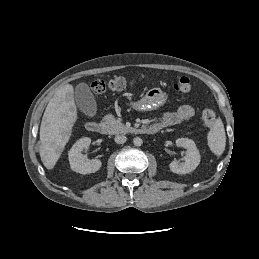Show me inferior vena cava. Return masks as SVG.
<instances>
[{
  "mask_svg": "<svg viewBox=\"0 0 259 259\" xmlns=\"http://www.w3.org/2000/svg\"><path fill=\"white\" fill-rule=\"evenodd\" d=\"M114 140L117 144H123L126 142L127 137L124 135H117Z\"/></svg>",
  "mask_w": 259,
  "mask_h": 259,
  "instance_id": "obj_1",
  "label": "inferior vena cava"
}]
</instances>
